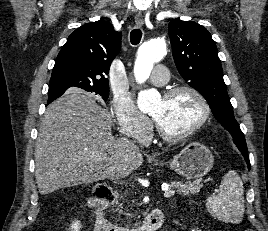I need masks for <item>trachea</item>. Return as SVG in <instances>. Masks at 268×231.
<instances>
[{
  "label": "trachea",
  "mask_w": 268,
  "mask_h": 231,
  "mask_svg": "<svg viewBox=\"0 0 268 231\" xmlns=\"http://www.w3.org/2000/svg\"><path fill=\"white\" fill-rule=\"evenodd\" d=\"M141 38H142V31L139 28L131 31L130 41L133 45L139 44Z\"/></svg>",
  "instance_id": "trachea-1"
}]
</instances>
